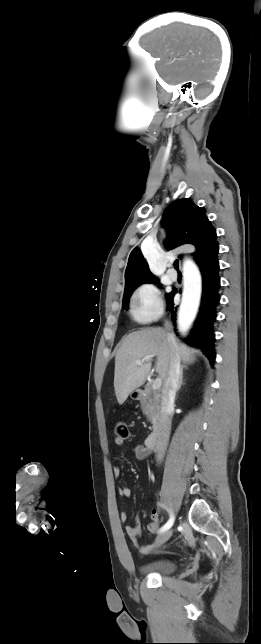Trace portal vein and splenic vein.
Wrapping results in <instances>:
<instances>
[{
    "label": "portal vein and splenic vein",
    "instance_id": "1",
    "mask_svg": "<svg viewBox=\"0 0 261 644\" xmlns=\"http://www.w3.org/2000/svg\"><path fill=\"white\" fill-rule=\"evenodd\" d=\"M151 358L152 357L148 356V357L143 358L142 360H137L135 363L137 365H141L142 363H144L146 361H150ZM161 385H162V379L161 378H156L152 383V389L153 390L159 389L161 387Z\"/></svg>",
    "mask_w": 261,
    "mask_h": 644
}]
</instances>
